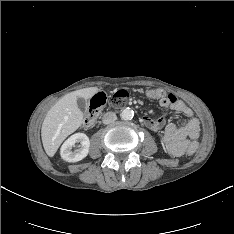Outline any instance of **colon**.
<instances>
[{
    "label": "colon",
    "instance_id": "5ec220e1",
    "mask_svg": "<svg viewBox=\"0 0 234 234\" xmlns=\"http://www.w3.org/2000/svg\"><path fill=\"white\" fill-rule=\"evenodd\" d=\"M147 96L151 99H160L163 94L160 91L151 90L147 93ZM129 98L130 94L127 89H120L116 91L109 100L107 99V96L102 92L95 94L90 99L89 111L83 121L82 127L84 129L90 128L95 123L98 114L100 113L102 108L106 106L107 103L113 109H120L128 104ZM200 145V140H193L191 145L188 146L187 151L183 154L184 159H191L192 154L199 149Z\"/></svg>",
    "mask_w": 234,
    "mask_h": 234
}]
</instances>
